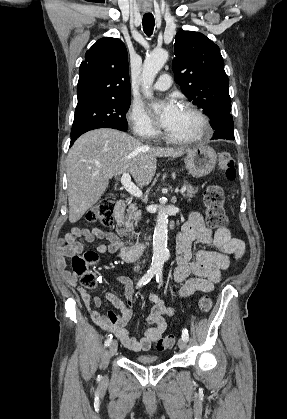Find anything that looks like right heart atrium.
<instances>
[{"label":"right heart atrium","mask_w":287,"mask_h":419,"mask_svg":"<svg viewBox=\"0 0 287 419\" xmlns=\"http://www.w3.org/2000/svg\"><path fill=\"white\" fill-rule=\"evenodd\" d=\"M127 119L136 136L143 139H153L157 136L155 123L140 103L134 102L131 105Z\"/></svg>","instance_id":"obj_1"}]
</instances>
